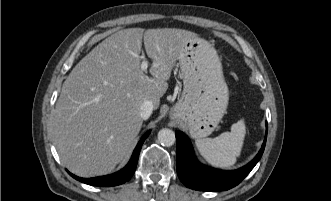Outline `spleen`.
<instances>
[{
	"label": "spleen",
	"mask_w": 331,
	"mask_h": 201,
	"mask_svg": "<svg viewBox=\"0 0 331 201\" xmlns=\"http://www.w3.org/2000/svg\"><path fill=\"white\" fill-rule=\"evenodd\" d=\"M245 134V123L241 119L231 126L230 132H224L215 138L197 139L195 144L208 163L215 167L228 168L240 156Z\"/></svg>",
	"instance_id": "3e777b00"
}]
</instances>
